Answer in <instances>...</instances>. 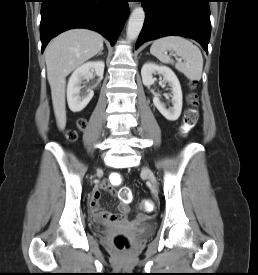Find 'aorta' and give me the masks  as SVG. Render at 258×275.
Returning <instances> with one entry per match:
<instances>
[{
    "label": "aorta",
    "instance_id": "obj_1",
    "mask_svg": "<svg viewBox=\"0 0 258 275\" xmlns=\"http://www.w3.org/2000/svg\"><path fill=\"white\" fill-rule=\"evenodd\" d=\"M144 20H145V12L143 8L141 6L135 7L130 15L128 25H127L126 34H127L128 40L133 41L138 37L143 27Z\"/></svg>",
    "mask_w": 258,
    "mask_h": 275
}]
</instances>
